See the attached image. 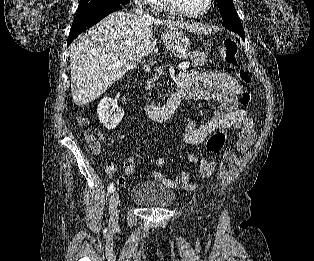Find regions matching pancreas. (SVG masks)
I'll list each match as a JSON object with an SVG mask.
<instances>
[{
	"label": "pancreas",
	"mask_w": 314,
	"mask_h": 261,
	"mask_svg": "<svg viewBox=\"0 0 314 261\" xmlns=\"http://www.w3.org/2000/svg\"><path fill=\"white\" fill-rule=\"evenodd\" d=\"M168 51L172 55H174L177 58H187L189 57L191 59V65L193 67H199L203 66L207 63V56L204 53H201L200 51H190L187 49H182L180 47L174 48L173 46H168ZM162 75V70H158L153 77V82L157 81L159 79V76ZM154 86V84H153Z\"/></svg>",
	"instance_id": "pancreas-1"
}]
</instances>
